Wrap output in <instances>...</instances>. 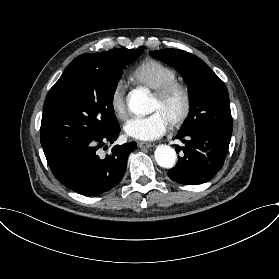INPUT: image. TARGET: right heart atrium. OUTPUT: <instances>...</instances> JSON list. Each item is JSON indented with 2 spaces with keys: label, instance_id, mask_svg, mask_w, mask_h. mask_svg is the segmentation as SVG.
<instances>
[{
  "label": "right heart atrium",
  "instance_id": "1",
  "mask_svg": "<svg viewBox=\"0 0 279 279\" xmlns=\"http://www.w3.org/2000/svg\"><path fill=\"white\" fill-rule=\"evenodd\" d=\"M127 86L123 79L118 80L109 95V107L118 120H124L128 110L126 105Z\"/></svg>",
  "mask_w": 279,
  "mask_h": 279
}]
</instances>
